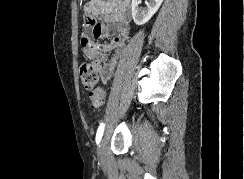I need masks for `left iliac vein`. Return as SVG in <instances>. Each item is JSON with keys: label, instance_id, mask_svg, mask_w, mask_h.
Instances as JSON below:
<instances>
[{"label": "left iliac vein", "instance_id": "left-iliac-vein-1", "mask_svg": "<svg viewBox=\"0 0 244 179\" xmlns=\"http://www.w3.org/2000/svg\"><path fill=\"white\" fill-rule=\"evenodd\" d=\"M108 142V133H106L98 145L97 154L100 161H106V148Z\"/></svg>", "mask_w": 244, "mask_h": 179}]
</instances>
